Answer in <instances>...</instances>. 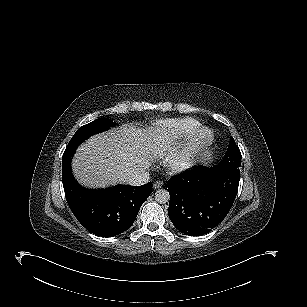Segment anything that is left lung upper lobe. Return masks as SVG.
<instances>
[{"label": "left lung upper lobe", "instance_id": "1", "mask_svg": "<svg viewBox=\"0 0 307 307\" xmlns=\"http://www.w3.org/2000/svg\"><path fill=\"white\" fill-rule=\"evenodd\" d=\"M241 166V152L236 145L233 138L230 139L228 150L225 154L224 160L215 167H229L234 170H239V167Z\"/></svg>", "mask_w": 307, "mask_h": 307}]
</instances>
